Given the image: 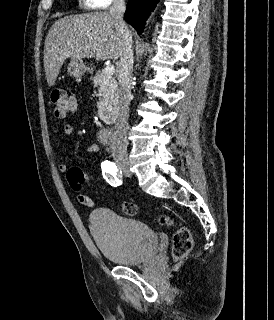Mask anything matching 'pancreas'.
<instances>
[{"mask_svg":"<svg viewBox=\"0 0 274 320\" xmlns=\"http://www.w3.org/2000/svg\"><path fill=\"white\" fill-rule=\"evenodd\" d=\"M95 88H98L101 98L97 102V108L104 112V110H112L118 104L119 92L117 82L112 76L97 72L96 76L92 78Z\"/></svg>","mask_w":274,"mask_h":320,"instance_id":"1","label":"pancreas"}]
</instances>
